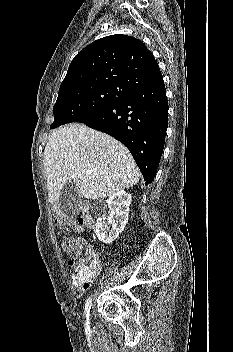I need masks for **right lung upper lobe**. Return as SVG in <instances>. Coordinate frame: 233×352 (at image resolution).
Segmentation results:
<instances>
[{
  "label": "right lung upper lobe",
  "mask_w": 233,
  "mask_h": 352,
  "mask_svg": "<svg viewBox=\"0 0 233 352\" xmlns=\"http://www.w3.org/2000/svg\"><path fill=\"white\" fill-rule=\"evenodd\" d=\"M161 78L153 54L139 39L116 34L94 41L73 58L58 95L102 85L135 91Z\"/></svg>",
  "instance_id": "right-lung-upper-lobe-1"
}]
</instances>
